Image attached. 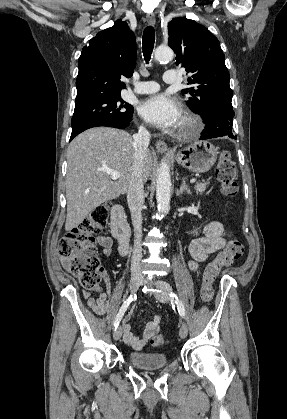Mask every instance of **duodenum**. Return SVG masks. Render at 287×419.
I'll return each mask as SVG.
<instances>
[{"instance_id": "obj_1", "label": "duodenum", "mask_w": 287, "mask_h": 419, "mask_svg": "<svg viewBox=\"0 0 287 419\" xmlns=\"http://www.w3.org/2000/svg\"><path fill=\"white\" fill-rule=\"evenodd\" d=\"M111 233L119 242L120 252L124 254L128 247L130 227L124 208L119 204L115 205L111 212Z\"/></svg>"}]
</instances>
